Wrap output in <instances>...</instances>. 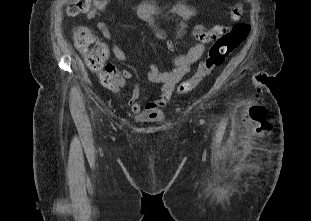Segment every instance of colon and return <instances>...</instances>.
<instances>
[{
  "label": "colon",
  "instance_id": "5ec220e1",
  "mask_svg": "<svg viewBox=\"0 0 311 221\" xmlns=\"http://www.w3.org/2000/svg\"><path fill=\"white\" fill-rule=\"evenodd\" d=\"M100 1H66L64 10L69 12L70 17H92L94 6L87 4H95V2L99 3ZM225 2H229V0H225ZM230 12L231 19L238 20L240 17H245L244 13L241 12L239 2L232 3ZM228 28L224 25H215L210 31L201 30L196 34V39L200 42H207L214 35L219 36L220 40L213 43L207 58L200 62L196 72L188 80L177 86V94H187L198 87L206 77L211 75L213 70L221 66L225 58L232 54L249 34V27L245 22L239 23V26H234L233 33L226 37L223 33ZM74 44L83 55L87 67L98 76L102 83L109 82L112 77V70L105 64L108 58L107 46L96 41L94 32L86 26H80L75 29Z\"/></svg>",
  "mask_w": 311,
  "mask_h": 221
}]
</instances>
